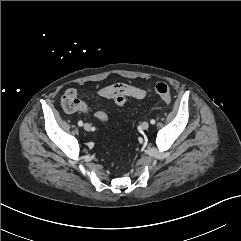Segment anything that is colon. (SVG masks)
Returning a JSON list of instances; mask_svg holds the SVG:
<instances>
[{
  "mask_svg": "<svg viewBox=\"0 0 241 241\" xmlns=\"http://www.w3.org/2000/svg\"><path fill=\"white\" fill-rule=\"evenodd\" d=\"M126 88L114 87L109 91V94L113 95L114 103L117 106H123L127 101V96L125 95ZM155 93L160 97L165 103H170L171 101V92L170 88L165 83H158L155 86ZM100 121H107L108 115L105 112H102L98 118Z\"/></svg>",
  "mask_w": 241,
  "mask_h": 241,
  "instance_id": "1",
  "label": "colon"
}]
</instances>
